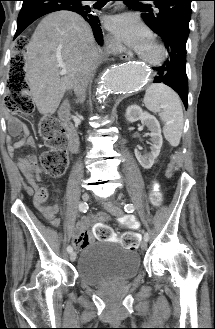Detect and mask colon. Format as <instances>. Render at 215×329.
I'll return each mask as SVG.
<instances>
[{"mask_svg": "<svg viewBox=\"0 0 215 329\" xmlns=\"http://www.w3.org/2000/svg\"><path fill=\"white\" fill-rule=\"evenodd\" d=\"M14 44L15 51L8 78L6 103L10 110L26 115L33 112L34 104L29 95L24 72L23 52L27 44H35V37H14ZM39 133L48 147V150L41 155V165L48 176L61 177L68 166L66 153L68 138L60 121L55 117H44L39 125ZM151 197L155 203H159L161 200V194L156 184L152 187ZM131 223V220L123 222L124 225H129V231H140V224ZM138 242L139 235L134 232H126L121 238L122 245L129 249H136Z\"/></svg>", "mask_w": 215, "mask_h": 329, "instance_id": "colon-1", "label": "colon"}]
</instances>
